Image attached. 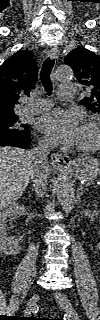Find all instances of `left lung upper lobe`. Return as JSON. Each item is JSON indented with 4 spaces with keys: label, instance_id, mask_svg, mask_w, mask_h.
I'll use <instances>...</instances> for the list:
<instances>
[{
    "label": "left lung upper lobe",
    "instance_id": "obj_1",
    "mask_svg": "<svg viewBox=\"0 0 100 320\" xmlns=\"http://www.w3.org/2000/svg\"><path fill=\"white\" fill-rule=\"evenodd\" d=\"M65 63L84 86L91 88V95L85 97L81 104L100 114V57L84 47H77L67 55Z\"/></svg>",
    "mask_w": 100,
    "mask_h": 320
}]
</instances>
